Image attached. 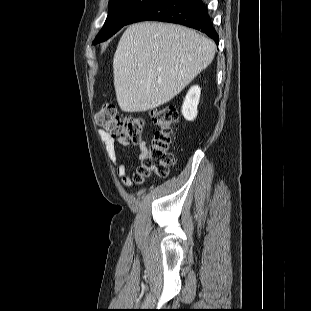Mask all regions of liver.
<instances>
[{"instance_id":"obj_1","label":"liver","mask_w":311,"mask_h":311,"mask_svg":"<svg viewBox=\"0 0 311 311\" xmlns=\"http://www.w3.org/2000/svg\"><path fill=\"white\" fill-rule=\"evenodd\" d=\"M215 49L211 39L180 25H130L113 58L120 109L144 112L169 102L210 65Z\"/></svg>"}]
</instances>
